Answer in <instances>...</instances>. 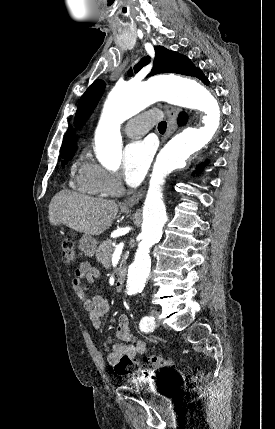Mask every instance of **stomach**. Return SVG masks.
<instances>
[{"label":"stomach","mask_w":275,"mask_h":429,"mask_svg":"<svg viewBox=\"0 0 275 429\" xmlns=\"http://www.w3.org/2000/svg\"><path fill=\"white\" fill-rule=\"evenodd\" d=\"M68 234L74 235V232L71 230ZM97 241L90 235L84 234L79 240V248L81 251L89 257H92L96 251Z\"/></svg>","instance_id":"1"}]
</instances>
